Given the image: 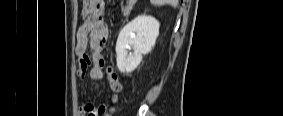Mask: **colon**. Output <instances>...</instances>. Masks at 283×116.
I'll use <instances>...</instances> for the list:
<instances>
[{
	"instance_id": "5ec220e1",
	"label": "colon",
	"mask_w": 283,
	"mask_h": 116,
	"mask_svg": "<svg viewBox=\"0 0 283 116\" xmlns=\"http://www.w3.org/2000/svg\"><path fill=\"white\" fill-rule=\"evenodd\" d=\"M106 74L111 90V100L114 103L117 100V96L122 89V85L113 67L108 66L106 69ZM111 110H113V108H111Z\"/></svg>"
}]
</instances>
